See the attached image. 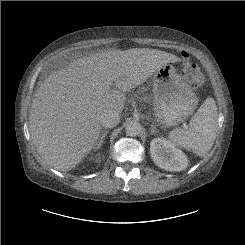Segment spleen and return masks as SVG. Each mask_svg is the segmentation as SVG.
Listing matches in <instances>:
<instances>
[{
	"label": "spleen",
	"instance_id": "3e777b00",
	"mask_svg": "<svg viewBox=\"0 0 245 245\" xmlns=\"http://www.w3.org/2000/svg\"><path fill=\"white\" fill-rule=\"evenodd\" d=\"M217 127V106L214 99L208 97L191 118L189 128H176L168 137L176 146L203 156L214 144Z\"/></svg>",
	"mask_w": 245,
	"mask_h": 245
}]
</instances>
